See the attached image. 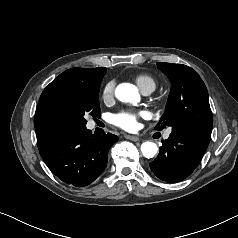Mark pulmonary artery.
<instances>
[{"mask_svg":"<svg viewBox=\"0 0 238 238\" xmlns=\"http://www.w3.org/2000/svg\"><path fill=\"white\" fill-rule=\"evenodd\" d=\"M144 94H149V93H151V91H144L143 92ZM170 133H171V130H168L165 134H164V138L165 139H167V138H169V136H170Z\"/></svg>","mask_w":238,"mask_h":238,"instance_id":"pulmonary-artery-1","label":"pulmonary artery"}]
</instances>
